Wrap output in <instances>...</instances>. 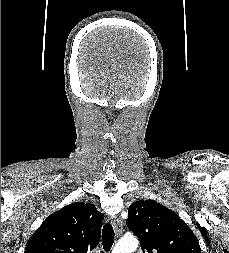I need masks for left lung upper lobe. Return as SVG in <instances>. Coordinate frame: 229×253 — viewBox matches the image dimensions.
<instances>
[{
    "label": "left lung upper lobe",
    "mask_w": 229,
    "mask_h": 253,
    "mask_svg": "<svg viewBox=\"0 0 229 253\" xmlns=\"http://www.w3.org/2000/svg\"><path fill=\"white\" fill-rule=\"evenodd\" d=\"M128 228L139 238L143 253H201L186 223L154 200H140L128 209Z\"/></svg>",
    "instance_id": "5c2ea615"
}]
</instances>
